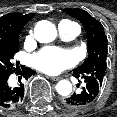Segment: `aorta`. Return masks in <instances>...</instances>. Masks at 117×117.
<instances>
[{
    "instance_id": "aorta-1",
    "label": "aorta",
    "mask_w": 117,
    "mask_h": 117,
    "mask_svg": "<svg viewBox=\"0 0 117 117\" xmlns=\"http://www.w3.org/2000/svg\"><path fill=\"white\" fill-rule=\"evenodd\" d=\"M34 36L40 43H49L56 39L57 29L47 20L39 21L34 28ZM56 91L61 96H68L72 92V84L68 80H61L56 85Z\"/></svg>"
}]
</instances>
